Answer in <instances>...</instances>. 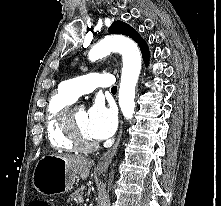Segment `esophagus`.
<instances>
[{"label":"esophagus","instance_id":"1","mask_svg":"<svg viewBox=\"0 0 221 206\" xmlns=\"http://www.w3.org/2000/svg\"><path fill=\"white\" fill-rule=\"evenodd\" d=\"M123 122L121 120L120 122V129H119V134L117 137V140L115 144L110 148L98 161V164L96 166L97 170H105L108 168L109 164L111 163L114 155L116 154L117 148L119 146V142L122 136V130H123Z\"/></svg>","mask_w":221,"mask_h":206}]
</instances>
